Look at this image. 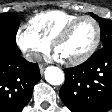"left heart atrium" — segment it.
Returning a JSON list of instances; mask_svg holds the SVG:
<instances>
[{"instance_id":"1","label":"left heart atrium","mask_w":112,"mask_h":112,"mask_svg":"<svg viewBox=\"0 0 112 112\" xmlns=\"http://www.w3.org/2000/svg\"><path fill=\"white\" fill-rule=\"evenodd\" d=\"M54 58L57 60H62V58L57 53L54 54Z\"/></svg>"}]
</instances>
